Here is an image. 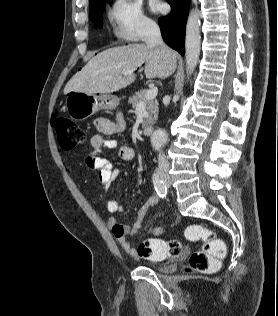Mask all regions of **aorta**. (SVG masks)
I'll return each mask as SVG.
<instances>
[{"mask_svg": "<svg viewBox=\"0 0 278 316\" xmlns=\"http://www.w3.org/2000/svg\"><path fill=\"white\" fill-rule=\"evenodd\" d=\"M200 14L196 10H192L188 16L186 25V72L191 75L198 64L201 46L200 35ZM167 133L161 129H157L151 136V144L155 150H159L167 142Z\"/></svg>", "mask_w": 278, "mask_h": 316, "instance_id": "aorta-1", "label": "aorta"}]
</instances>
